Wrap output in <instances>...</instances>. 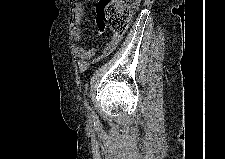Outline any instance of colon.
<instances>
[{
	"instance_id": "obj_1",
	"label": "colon",
	"mask_w": 225,
	"mask_h": 159,
	"mask_svg": "<svg viewBox=\"0 0 225 159\" xmlns=\"http://www.w3.org/2000/svg\"><path fill=\"white\" fill-rule=\"evenodd\" d=\"M138 4L139 0H101L98 6L100 26L108 27L112 36L121 38Z\"/></svg>"
}]
</instances>
